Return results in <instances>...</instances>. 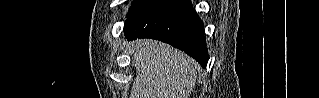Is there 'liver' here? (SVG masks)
I'll return each mask as SVG.
<instances>
[{
    "label": "liver",
    "mask_w": 319,
    "mask_h": 98,
    "mask_svg": "<svg viewBox=\"0 0 319 98\" xmlns=\"http://www.w3.org/2000/svg\"><path fill=\"white\" fill-rule=\"evenodd\" d=\"M136 77L130 98H189L199 65L185 53L153 40L132 43Z\"/></svg>",
    "instance_id": "obj_1"
}]
</instances>
